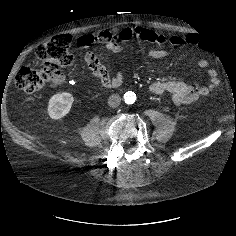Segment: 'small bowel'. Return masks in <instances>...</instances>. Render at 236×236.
Returning <instances> with one entry per match:
<instances>
[{"label":"small bowel","instance_id":"c3829d8e","mask_svg":"<svg viewBox=\"0 0 236 236\" xmlns=\"http://www.w3.org/2000/svg\"><path fill=\"white\" fill-rule=\"evenodd\" d=\"M132 39L155 43L160 46L149 52V56L153 59H162L169 55L170 51L165 48L166 45L182 47L202 44L201 37L195 33L184 36H166L157 34L144 27L133 29L123 28L116 33L105 30L96 35L85 34L77 39V43L81 47H89L93 44L103 45L107 50L113 53H119L122 51L121 43ZM85 61L93 74L101 80L104 86H118L121 84L122 74L117 72L113 77H110L106 68L94 53L87 52L85 54ZM197 64L200 68H207L209 65L208 61L205 59L199 60ZM63 80V77L60 75L59 78L52 81L51 84L53 87H56L61 84ZM219 83L220 78L217 71L209 70L207 84L187 83L182 81H154L149 84L148 89L154 94L170 93L172 95V100L176 105H184L208 95L218 87Z\"/></svg>","mask_w":236,"mask_h":236}]
</instances>
